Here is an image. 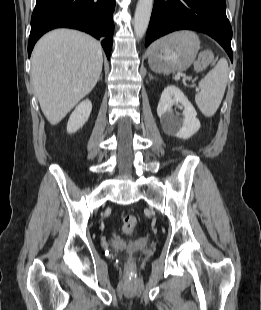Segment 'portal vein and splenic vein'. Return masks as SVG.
<instances>
[{
    "mask_svg": "<svg viewBox=\"0 0 261 310\" xmlns=\"http://www.w3.org/2000/svg\"><path fill=\"white\" fill-rule=\"evenodd\" d=\"M180 76H181V74H177L175 77H176L177 79H179ZM196 91H199V89H196Z\"/></svg>",
    "mask_w": 261,
    "mask_h": 310,
    "instance_id": "18ae733b",
    "label": "portal vein and splenic vein"
}]
</instances>
